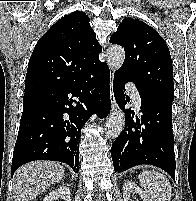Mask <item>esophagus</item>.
<instances>
[{"label":"esophagus","mask_w":196,"mask_h":201,"mask_svg":"<svg viewBox=\"0 0 196 201\" xmlns=\"http://www.w3.org/2000/svg\"><path fill=\"white\" fill-rule=\"evenodd\" d=\"M110 94H111V109L112 111L117 110V103L115 100V96H114V90H113V74L111 75V79H110Z\"/></svg>","instance_id":"obj_1"}]
</instances>
